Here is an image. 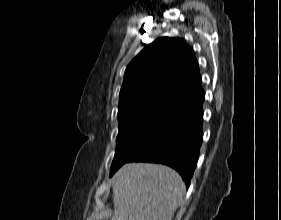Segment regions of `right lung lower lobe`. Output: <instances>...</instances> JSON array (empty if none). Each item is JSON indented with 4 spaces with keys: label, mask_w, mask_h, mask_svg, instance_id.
Instances as JSON below:
<instances>
[{
    "label": "right lung lower lobe",
    "mask_w": 281,
    "mask_h": 220,
    "mask_svg": "<svg viewBox=\"0 0 281 220\" xmlns=\"http://www.w3.org/2000/svg\"><path fill=\"white\" fill-rule=\"evenodd\" d=\"M204 98L203 93L178 109L127 162L144 161L169 165L178 171L188 188L202 144Z\"/></svg>",
    "instance_id": "obj_1"
}]
</instances>
